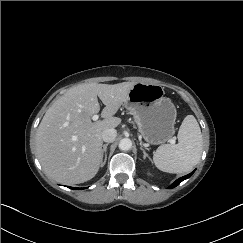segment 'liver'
Returning a JSON list of instances; mask_svg holds the SVG:
<instances>
[{"mask_svg":"<svg viewBox=\"0 0 243 243\" xmlns=\"http://www.w3.org/2000/svg\"><path fill=\"white\" fill-rule=\"evenodd\" d=\"M135 83L114 85L88 83L70 88L45 113L36 131V148L45 172L61 184L92 179L102 162V133L117 127L114 117ZM105 105L103 120L92 122Z\"/></svg>","mask_w":243,"mask_h":243,"instance_id":"liver-1","label":"liver"}]
</instances>
